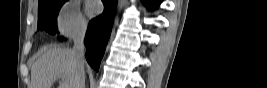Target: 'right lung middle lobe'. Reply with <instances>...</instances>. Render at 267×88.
Returning a JSON list of instances; mask_svg holds the SVG:
<instances>
[{"mask_svg": "<svg viewBox=\"0 0 267 88\" xmlns=\"http://www.w3.org/2000/svg\"><path fill=\"white\" fill-rule=\"evenodd\" d=\"M67 0H42L38 5L37 30H46L50 34L57 32V15Z\"/></svg>", "mask_w": 267, "mask_h": 88, "instance_id": "right-lung-middle-lobe-1", "label": "right lung middle lobe"}]
</instances>
